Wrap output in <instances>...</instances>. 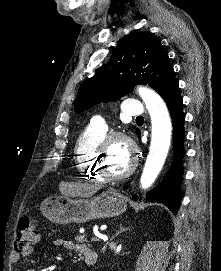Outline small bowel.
Masks as SVG:
<instances>
[{"label": "small bowel", "instance_id": "1", "mask_svg": "<svg viewBox=\"0 0 221 271\" xmlns=\"http://www.w3.org/2000/svg\"><path fill=\"white\" fill-rule=\"evenodd\" d=\"M53 244L56 247L64 248L67 251L78 253L79 255H82L84 257H95L97 258L98 255L95 251L91 250L86 244L76 242L73 240H67L64 238H56L53 241ZM33 253V248L28 247L22 251H14L11 254V261L13 263L18 262L21 256L28 257Z\"/></svg>", "mask_w": 221, "mask_h": 271}]
</instances>
